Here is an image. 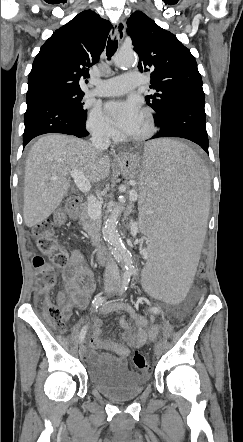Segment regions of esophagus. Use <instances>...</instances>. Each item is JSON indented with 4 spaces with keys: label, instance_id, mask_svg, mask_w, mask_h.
<instances>
[{
    "label": "esophagus",
    "instance_id": "esophagus-1",
    "mask_svg": "<svg viewBox=\"0 0 243 442\" xmlns=\"http://www.w3.org/2000/svg\"><path fill=\"white\" fill-rule=\"evenodd\" d=\"M124 31H125V23L123 20H119L114 24V36L119 40L122 41L124 39ZM118 161L125 160V155L118 154L117 155Z\"/></svg>",
    "mask_w": 243,
    "mask_h": 442
}]
</instances>
